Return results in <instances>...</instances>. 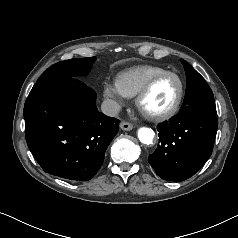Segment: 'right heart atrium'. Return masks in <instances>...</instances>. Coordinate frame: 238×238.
<instances>
[{
	"label": "right heart atrium",
	"mask_w": 238,
	"mask_h": 238,
	"mask_svg": "<svg viewBox=\"0 0 238 238\" xmlns=\"http://www.w3.org/2000/svg\"><path fill=\"white\" fill-rule=\"evenodd\" d=\"M103 95L116 109L123 106L126 101V96L117 82L106 81L103 85Z\"/></svg>",
	"instance_id": "d8ad5b80"
}]
</instances>
